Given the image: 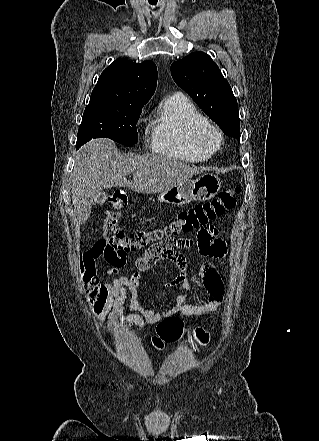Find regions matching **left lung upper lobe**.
<instances>
[{
	"label": "left lung upper lobe",
	"mask_w": 319,
	"mask_h": 441,
	"mask_svg": "<svg viewBox=\"0 0 319 441\" xmlns=\"http://www.w3.org/2000/svg\"><path fill=\"white\" fill-rule=\"evenodd\" d=\"M175 83L232 138H240L239 111L228 81L211 57L194 52L171 65Z\"/></svg>",
	"instance_id": "5c2ea615"
}]
</instances>
